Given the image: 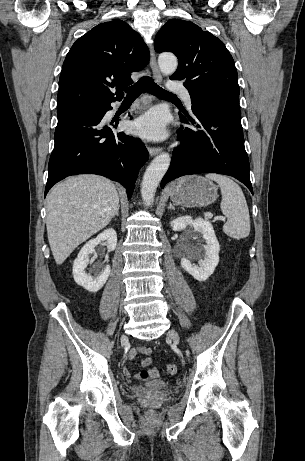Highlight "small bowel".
I'll list each match as a JSON object with an SVG mask.
<instances>
[{"label":"small bowel","instance_id":"obj_1","mask_svg":"<svg viewBox=\"0 0 305 461\" xmlns=\"http://www.w3.org/2000/svg\"><path fill=\"white\" fill-rule=\"evenodd\" d=\"M152 349L149 348V347H145V346H138V347H135L133 349H131L129 351V357L131 359L135 358L138 354H144L146 355L145 358L141 359V366L142 367H148L152 364L153 362V359H152ZM123 373L126 377H131L132 376V373L129 371V369L127 367L124 368L123 370ZM151 374L153 377H158L159 376V371L157 369H153L151 371ZM134 377L138 378L139 377V374H135Z\"/></svg>","mask_w":305,"mask_h":461}]
</instances>
